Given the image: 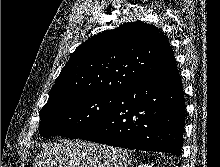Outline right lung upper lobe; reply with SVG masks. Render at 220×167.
I'll return each mask as SVG.
<instances>
[{"mask_svg":"<svg viewBox=\"0 0 220 167\" xmlns=\"http://www.w3.org/2000/svg\"><path fill=\"white\" fill-rule=\"evenodd\" d=\"M175 70L165 34L153 25L130 22L82 43L56 79L48 101L76 92L117 94Z\"/></svg>","mask_w":220,"mask_h":167,"instance_id":"right-lung-upper-lobe-1","label":"right lung upper lobe"}]
</instances>
